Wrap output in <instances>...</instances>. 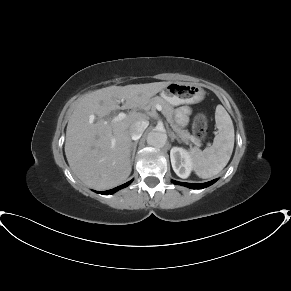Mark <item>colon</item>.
Returning a JSON list of instances; mask_svg holds the SVG:
<instances>
[{"mask_svg": "<svg viewBox=\"0 0 291 291\" xmlns=\"http://www.w3.org/2000/svg\"><path fill=\"white\" fill-rule=\"evenodd\" d=\"M208 129V119L205 114L199 113L196 115L193 122V131L196 137L200 140L205 139Z\"/></svg>", "mask_w": 291, "mask_h": 291, "instance_id": "colon-1", "label": "colon"}]
</instances>
